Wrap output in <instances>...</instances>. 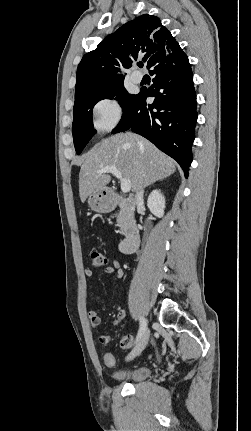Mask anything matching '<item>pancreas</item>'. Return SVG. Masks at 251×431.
<instances>
[{"mask_svg":"<svg viewBox=\"0 0 251 431\" xmlns=\"http://www.w3.org/2000/svg\"><path fill=\"white\" fill-rule=\"evenodd\" d=\"M128 212L126 209H121L120 213L117 216V225L119 226L121 232L123 233L126 225V217Z\"/></svg>","mask_w":251,"mask_h":431,"instance_id":"cf45deb5","label":"pancreas"}]
</instances>
